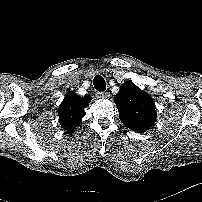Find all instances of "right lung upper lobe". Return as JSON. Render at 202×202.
I'll list each match as a JSON object with an SVG mask.
<instances>
[{
	"mask_svg": "<svg viewBox=\"0 0 202 202\" xmlns=\"http://www.w3.org/2000/svg\"><path fill=\"white\" fill-rule=\"evenodd\" d=\"M90 101V96L80 97L72 91L65 94L64 100L58 109V116L61 126L69 134H72L74 129L79 126L85 115L84 108L88 106Z\"/></svg>",
	"mask_w": 202,
	"mask_h": 202,
	"instance_id": "obj_1",
	"label": "right lung upper lobe"
}]
</instances>
